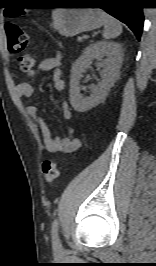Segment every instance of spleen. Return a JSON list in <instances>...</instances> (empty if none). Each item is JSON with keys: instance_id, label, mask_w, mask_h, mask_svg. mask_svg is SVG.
I'll return each instance as SVG.
<instances>
[{"instance_id": "1", "label": "spleen", "mask_w": 156, "mask_h": 266, "mask_svg": "<svg viewBox=\"0 0 156 266\" xmlns=\"http://www.w3.org/2000/svg\"><path fill=\"white\" fill-rule=\"evenodd\" d=\"M104 30H103V38L105 39H113L118 37L122 33V26L121 24L112 16L107 14L104 11L100 12Z\"/></svg>"}]
</instances>
